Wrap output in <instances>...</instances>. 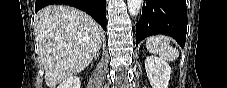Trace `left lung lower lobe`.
I'll use <instances>...</instances> for the list:
<instances>
[{"mask_svg":"<svg viewBox=\"0 0 227 88\" xmlns=\"http://www.w3.org/2000/svg\"><path fill=\"white\" fill-rule=\"evenodd\" d=\"M136 45L153 34H167L184 47L187 33L185 0H145L136 24Z\"/></svg>","mask_w":227,"mask_h":88,"instance_id":"1","label":"left lung lower lobe"}]
</instances>
